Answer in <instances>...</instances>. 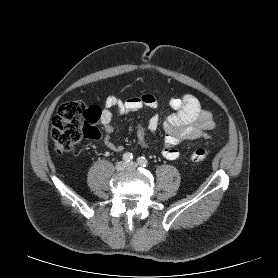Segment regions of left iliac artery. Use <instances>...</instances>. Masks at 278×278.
Here are the masks:
<instances>
[{
  "label": "left iliac artery",
  "mask_w": 278,
  "mask_h": 278,
  "mask_svg": "<svg viewBox=\"0 0 278 278\" xmlns=\"http://www.w3.org/2000/svg\"><path fill=\"white\" fill-rule=\"evenodd\" d=\"M138 165L142 166V167H146L148 164V161L145 157H139L137 159Z\"/></svg>",
  "instance_id": "44dca946"
}]
</instances>
